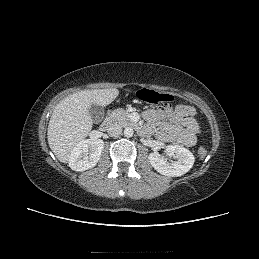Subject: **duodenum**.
I'll use <instances>...</instances> for the list:
<instances>
[{"label": "duodenum", "instance_id": "1", "mask_svg": "<svg viewBox=\"0 0 259 259\" xmlns=\"http://www.w3.org/2000/svg\"><path fill=\"white\" fill-rule=\"evenodd\" d=\"M113 125V119L111 117H107L100 125V130L105 132Z\"/></svg>", "mask_w": 259, "mask_h": 259}]
</instances>
